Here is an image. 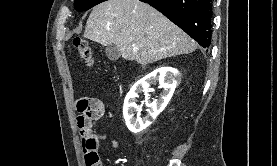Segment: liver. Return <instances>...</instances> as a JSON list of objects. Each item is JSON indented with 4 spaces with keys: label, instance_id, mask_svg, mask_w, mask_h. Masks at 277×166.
I'll use <instances>...</instances> for the list:
<instances>
[{
    "label": "liver",
    "instance_id": "liver-1",
    "mask_svg": "<svg viewBox=\"0 0 277 166\" xmlns=\"http://www.w3.org/2000/svg\"><path fill=\"white\" fill-rule=\"evenodd\" d=\"M84 37L103 46L114 44L125 60L141 65L188 54L198 47L183 30L139 0H107L95 6Z\"/></svg>",
    "mask_w": 277,
    "mask_h": 166
}]
</instances>
